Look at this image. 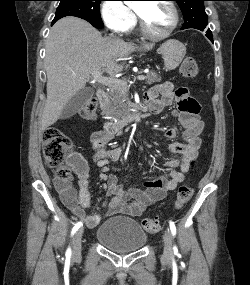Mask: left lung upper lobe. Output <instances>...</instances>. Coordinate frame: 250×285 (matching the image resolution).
I'll return each mask as SVG.
<instances>
[{
	"mask_svg": "<svg viewBox=\"0 0 250 285\" xmlns=\"http://www.w3.org/2000/svg\"><path fill=\"white\" fill-rule=\"evenodd\" d=\"M178 3L185 23L181 30L195 28L204 30L208 24V17L204 8L206 0H174ZM207 31H210L209 29ZM211 32V31H210Z\"/></svg>",
	"mask_w": 250,
	"mask_h": 285,
	"instance_id": "obj_1",
	"label": "left lung upper lobe"
}]
</instances>
